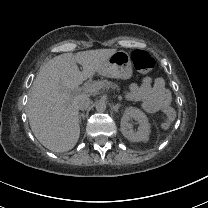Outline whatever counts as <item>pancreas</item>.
<instances>
[{"instance_id": "1", "label": "pancreas", "mask_w": 208, "mask_h": 208, "mask_svg": "<svg viewBox=\"0 0 208 208\" xmlns=\"http://www.w3.org/2000/svg\"><path fill=\"white\" fill-rule=\"evenodd\" d=\"M102 87H105V88H113V89H117V90H120L118 85L111 82V81H107V80H103V81H100Z\"/></svg>"}]
</instances>
